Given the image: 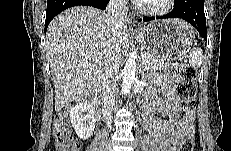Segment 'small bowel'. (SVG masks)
I'll list each match as a JSON object with an SVG mask.
<instances>
[{"instance_id":"small-bowel-1","label":"small bowel","mask_w":231,"mask_h":151,"mask_svg":"<svg viewBox=\"0 0 231 151\" xmlns=\"http://www.w3.org/2000/svg\"><path fill=\"white\" fill-rule=\"evenodd\" d=\"M177 77L167 74L153 85L148 93V100L143 111L151 138L158 144L161 151H176L179 140L187 135H194V113L180 116L179 99L174 91ZM154 93L160 95L154 98ZM161 114L157 117L154 114Z\"/></svg>"}]
</instances>
